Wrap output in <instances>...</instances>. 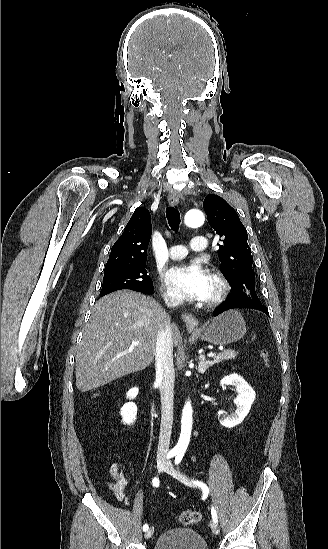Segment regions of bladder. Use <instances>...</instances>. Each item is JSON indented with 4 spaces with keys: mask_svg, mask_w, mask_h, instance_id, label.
<instances>
[{
    "mask_svg": "<svg viewBox=\"0 0 328 549\" xmlns=\"http://www.w3.org/2000/svg\"><path fill=\"white\" fill-rule=\"evenodd\" d=\"M154 549H208V546L196 531L186 528L163 532Z\"/></svg>",
    "mask_w": 328,
    "mask_h": 549,
    "instance_id": "bladder-1",
    "label": "bladder"
}]
</instances>
